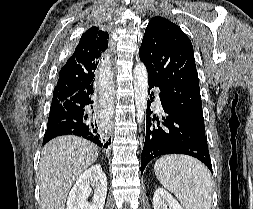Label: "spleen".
Here are the masks:
<instances>
[{
    "instance_id": "3e777b00",
    "label": "spleen",
    "mask_w": 253,
    "mask_h": 209,
    "mask_svg": "<svg viewBox=\"0 0 253 209\" xmlns=\"http://www.w3.org/2000/svg\"><path fill=\"white\" fill-rule=\"evenodd\" d=\"M154 171L185 209H211L212 178L201 162L189 156L167 155L156 161Z\"/></svg>"
}]
</instances>
